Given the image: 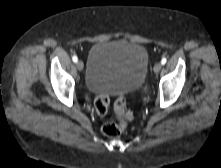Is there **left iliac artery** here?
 <instances>
[{"label": "left iliac artery", "mask_w": 221, "mask_h": 168, "mask_svg": "<svg viewBox=\"0 0 221 168\" xmlns=\"http://www.w3.org/2000/svg\"><path fill=\"white\" fill-rule=\"evenodd\" d=\"M166 62H167V59H166L165 57L162 58V60H161V64L164 65Z\"/></svg>", "instance_id": "1"}]
</instances>
